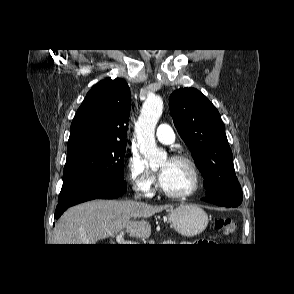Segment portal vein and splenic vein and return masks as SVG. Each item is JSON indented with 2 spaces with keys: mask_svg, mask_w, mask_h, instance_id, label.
Listing matches in <instances>:
<instances>
[{
  "mask_svg": "<svg viewBox=\"0 0 294 294\" xmlns=\"http://www.w3.org/2000/svg\"><path fill=\"white\" fill-rule=\"evenodd\" d=\"M116 241L118 244H132L131 241L124 239V231H121L118 235H116Z\"/></svg>",
  "mask_w": 294,
  "mask_h": 294,
  "instance_id": "1",
  "label": "portal vein and splenic vein"
}]
</instances>
